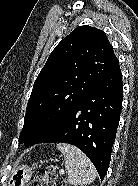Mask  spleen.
Listing matches in <instances>:
<instances>
[{
  "instance_id": "3e777b00",
  "label": "spleen",
  "mask_w": 138,
  "mask_h": 186,
  "mask_svg": "<svg viewBox=\"0 0 138 186\" xmlns=\"http://www.w3.org/2000/svg\"><path fill=\"white\" fill-rule=\"evenodd\" d=\"M57 148L64 155L67 180L70 184L83 186L95 180L97 171L90 159L80 149L66 143L57 144Z\"/></svg>"
}]
</instances>
